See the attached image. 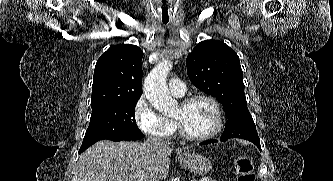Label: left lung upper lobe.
<instances>
[{
  "instance_id": "1",
  "label": "left lung upper lobe",
  "mask_w": 333,
  "mask_h": 181,
  "mask_svg": "<svg viewBox=\"0 0 333 181\" xmlns=\"http://www.w3.org/2000/svg\"><path fill=\"white\" fill-rule=\"evenodd\" d=\"M187 74L197 88L223 105L228 119L223 134L259 141L247 108L239 57L232 48L214 40L198 43L187 57Z\"/></svg>"
}]
</instances>
